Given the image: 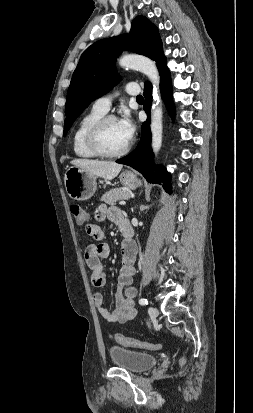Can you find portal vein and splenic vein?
Instances as JSON below:
<instances>
[{"label":"portal vein and splenic vein","instance_id":"portal-vein-and-splenic-vein-1","mask_svg":"<svg viewBox=\"0 0 253 413\" xmlns=\"http://www.w3.org/2000/svg\"><path fill=\"white\" fill-rule=\"evenodd\" d=\"M125 204H126L125 201H120V202H119V205H121V206H123V205H125Z\"/></svg>","mask_w":253,"mask_h":413}]
</instances>
